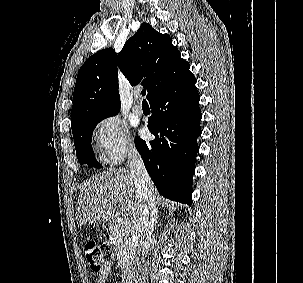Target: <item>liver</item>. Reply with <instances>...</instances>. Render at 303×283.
I'll use <instances>...</instances> for the list:
<instances>
[{
	"label": "liver",
	"instance_id": "6515ba94",
	"mask_svg": "<svg viewBox=\"0 0 303 283\" xmlns=\"http://www.w3.org/2000/svg\"><path fill=\"white\" fill-rule=\"evenodd\" d=\"M153 194L155 196L154 189ZM117 206L129 227L136 226L140 217L138 194L131 172L125 168L96 175L82 186L77 202V224L109 221Z\"/></svg>",
	"mask_w": 303,
	"mask_h": 283
}]
</instances>
